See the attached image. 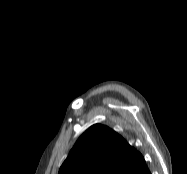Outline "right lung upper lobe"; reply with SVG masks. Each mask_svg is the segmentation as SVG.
Segmentation results:
<instances>
[{"label": "right lung upper lobe", "mask_w": 187, "mask_h": 174, "mask_svg": "<svg viewBox=\"0 0 187 174\" xmlns=\"http://www.w3.org/2000/svg\"><path fill=\"white\" fill-rule=\"evenodd\" d=\"M59 174H151L143 156L107 126H91L76 142Z\"/></svg>", "instance_id": "obj_1"}]
</instances>
